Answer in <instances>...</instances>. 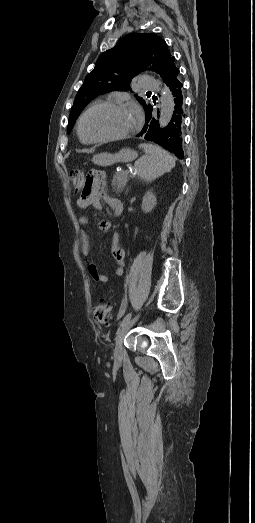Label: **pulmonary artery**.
<instances>
[{
  "instance_id": "pulmonary-artery-1",
  "label": "pulmonary artery",
  "mask_w": 255,
  "mask_h": 523,
  "mask_svg": "<svg viewBox=\"0 0 255 523\" xmlns=\"http://www.w3.org/2000/svg\"><path fill=\"white\" fill-rule=\"evenodd\" d=\"M158 84H159V81L155 77L150 78V76L148 74H143L141 76V80H140L141 88H144V90L147 92H150L153 90L154 93H157V90L159 88Z\"/></svg>"
}]
</instances>
